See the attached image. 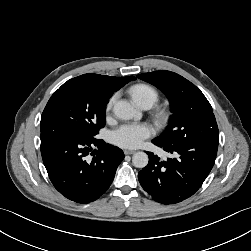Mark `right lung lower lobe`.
<instances>
[{
  "label": "right lung lower lobe",
  "instance_id": "98d812e1",
  "mask_svg": "<svg viewBox=\"0 0 251 251\" xmlns=\"http://www.w3.org/2000/svg\"><path fill=\"white\" fill-rule=\"evenodd\" d=\"M40 148L56 190L77 203L98 199L111 185L116 169L124 159V153L118 147L63 130L41 133Z\"/></svg>",
  "mask_w": 251,
  "mask_h": 251
}]
</instances>
